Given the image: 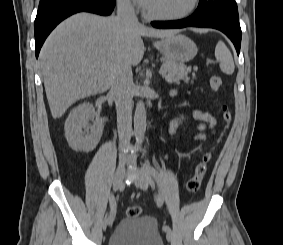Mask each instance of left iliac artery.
<instances>
[{"mask_svg": "<svg viewBox=\"0 0 283 245\" xmlns=\"http://www.w3.org/2000/svg\"><path fill=\"white\" fill-rule=\"evenodd\" d=\"M144 169L147 171V173L150 175V183L153 185L154 182L152 178L158 183L159 186V195L157 199V205L160 207L163 204L164 201V196H163V191H162V181H161V176L160 174L156 171L155 168H153L149 162L144 163ZM152 176V178H151ZM163 231L165 232H170L171 228L168 225H163Z\"/></svg>", "mask_w": 283, "mask_h": 245, "instance_id": "1", "label": "left iliac artery"}]
</instances>
